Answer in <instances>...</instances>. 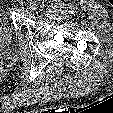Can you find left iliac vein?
Segmentation results:
<instances>
[{"instance_id": "left-iliac-vein-1", "label": "left iliac vein", "mask_w": 113, "mask_h": 113, "mask_svg": "<svg viewBox=\"0 0 113 113\" xmlns=\"http://www.w3.org/2000/svg\"><path fill=\"white\" fill-rule=\"evenodd\" d=\"M36 3L34 2V1H30V3H29V9L31 10V11H34L35 9H36Z\"/></svg>"}]
</instances>
